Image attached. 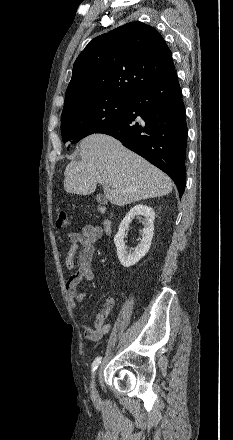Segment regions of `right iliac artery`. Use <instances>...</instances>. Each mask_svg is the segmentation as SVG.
<instances>
[{
    "instance_id": "obj_1",
    "label": "right iliac artery",
    "mask_w": 233,
    "mask_h": 440,
    "mask_svg": "<svg viewBox=\"0 0 233 440\" xmlns=\"http://www.w3.org/2000/svg\"><path fill=\"white\" fill-rule=\"evenodd\" d=\"M101 357H97L94 361H93V363H92V371L94 372L96 369H97V367H98V365L101 363Z\"/></svg>"
}]
</instances>
